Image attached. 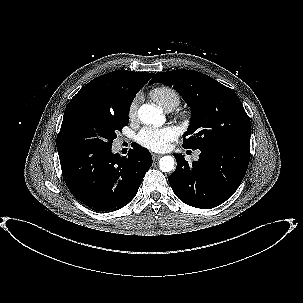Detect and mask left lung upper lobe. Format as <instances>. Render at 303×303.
<instances>
[{"label":"left lung upper lobe","mask_w":303,"mask_h":303,"mask_svg":"<svg viewBox=\"0 0 303 303\" xmlns=\"http://www.w3.org/2000/svg\"><path fill=\"white\" fill-rule=\"evenodd\" d=\"M159 82L173 86L192 110L184 148L199 149L210 143L250 144L251 122L232 89L192 70L158 72L149 84Z\"/></svg>","instance_id":"obj_1"}]
</instances>
